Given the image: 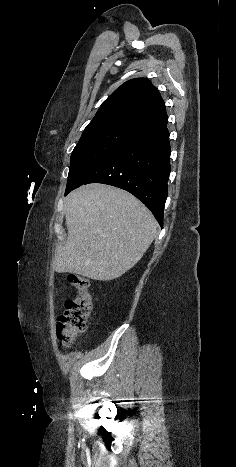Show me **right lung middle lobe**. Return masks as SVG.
<instances>
[{"label":"right lung middle lobe","instance_id":"obj_1","mask_svg":"<svg viewBox=\"0 0 236 467\" xmlns=\"http://www.w3.org/2000/svg\"><path fill=\"white\" fill-rule=\"evenodd\" d=\"M138 133L121 126H98L85 129L71 155L67 187L80 178L92 165Z\"/></svg>","mask_w":236,"mask_h":467}]
</instances>
